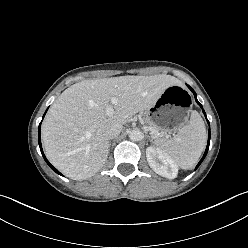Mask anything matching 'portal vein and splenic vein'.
<instances>
[{
  "label": "portal vein and splenic vein",
  "instance_id": "portal-vein-and-splenic-vein-1",
  "mask_svg": "<svg viewBox=\"0 0 248 248\" xmlns=\"http://www.w3.org/2000/svg\"><path fill=\"white\" fill-rule=\"evenodd\" d=\"M118 103V99L116 97H112L110 100V104L107 106L106 108V113L108 116H111L114 113V108L113 106L116 105ZM150 130L152 131V133L154 134H158L156 131H154L152 128H150ZM159 135V134H158Z\"/></svg>",
  "mask_w": 248,
  "mask_h": 248
}]
</instances>
